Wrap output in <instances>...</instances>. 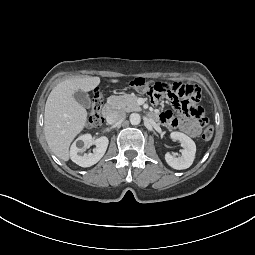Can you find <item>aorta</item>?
I'll use <instances>...</instances> for the list:
<instances>
[{"instance_id":"obj_1","label":"aorta","mask_w":255,"mask_h":255,"mask_svg":"<svg viewBox=\"0 0 255 255\" xmlns=\"http://www.w3.org/2000/svg\"><path fill=\"white\" fill-rule=\"evenodd\" d=\"M130 122L132 125H138L141 122V117L138 113H132L130 115Z\"/></svg>"}]
</instances>
